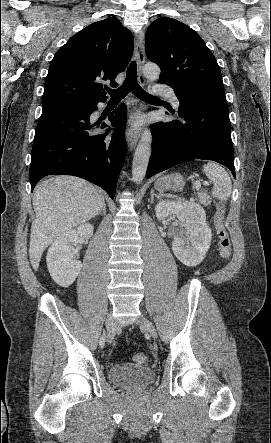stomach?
Returning <instances> with one entry per match:
<instances>
[{"label":"stomach","mask_w":271,"mask_h":443,"mask_svg":"<svg viewBox=\"0 0 271 443\" xmlns=\"http://www.w3.org/2000/svg\"><path fill=\"white\" fill-rule=\"evenodd\" d=\"M185 186V180L181 174H171V176H163L155 182V190L157 192H166V190H180Z\"/></svg>","instance_id":"obj_1"}]
</instances>
